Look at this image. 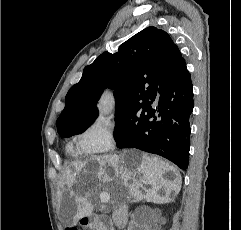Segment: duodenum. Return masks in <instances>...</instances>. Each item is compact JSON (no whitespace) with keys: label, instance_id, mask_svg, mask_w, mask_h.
Listing matches in <instances>:
<instances>
[{"label":"duodenum","instance_id":"410a0bca","mask_svg":"<svg viewBox=\"0 0 241 230\" xmlns=\"http://www.w3.org/2000/svg\"><path fill=\"white\" fill-rule=\"evenodd\" d=\"M100 218L95 215H85L81 218L82 226L86 228H96L100 224Z\"/></svg>","mask_w":241,"mask_h":230}]
</instances>
